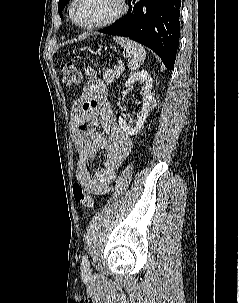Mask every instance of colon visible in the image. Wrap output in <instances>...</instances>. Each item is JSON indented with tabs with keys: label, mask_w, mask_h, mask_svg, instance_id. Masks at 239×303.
Here are the masks:
<instances>
[{
	"label": "colon",
	"mask_w": 239,
	"mask_h": 303,
	"mask_svg": "<svg viewBox=\"0 0 239 303\" xmlns=\"http://www.w3.org/2000/svg\"><path fill=\"white\" fill-rule=\"evenodd\" d=\"M62 80L64 85L71 86L79 84L83 79V72L74 60L66 61L61 65ZM74 200L85 208H92L94 199L85 192L79 184L73 186Z\"/></svg>",
	"instance_id": "colon-1"
}]
</instances>
